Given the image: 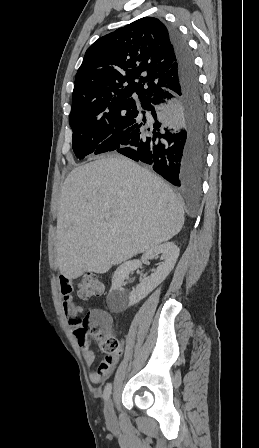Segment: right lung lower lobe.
I'll use <instances>...</instances> for the list:
<instances>
[{"label":"right lung lower lobe","mask_w":259,"mask_h":448,"mask_svg":"<svg viewBox=\"0 0 259 448\" xmlns=\"http://www.w3.org/2000/svg\"><path fill=\"white\" fill-rule=\"evenodd\" d=\"M166 27L179 85L143 104L144 111L123 131L113 151L152 165L155 172L176 187H198L207 146L205 107L188 44L175 27Z\"/></svg>","instance_id":"98d812e1"}]
</instances>
